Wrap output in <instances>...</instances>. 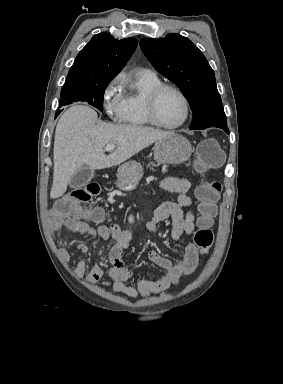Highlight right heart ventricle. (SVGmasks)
I'll use <instances>...</instances> for the list:
<instances>
[{"instance_id": "obj_1", "label": "right heart ventricle", "mask_w": 283, "mask_h": 384, "mask_svg": "<svg viewBox=\"0 0 283 384\" xmlns=\"http://www.w3.org/2000/svg\"><path fill=\"white\" fill-rule=\"evenodd\" d=\"M161 84L159 78L144 73H138L134 79L135 92L124 94L123 120L130 127L145 128L150 124L144 114V100L147 94Z\"/></svg>"}]
</instances>
